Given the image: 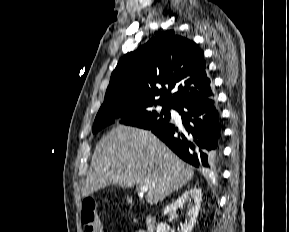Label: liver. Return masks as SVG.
I'll use <instances>...</instances> for the list:
<instances>
[{
  "label": "liver",
  "instance_id": "liver-1",
  "mask_svg": "<svg viewBox=\"0 0 289 232\" xmlns=\"http://www.w3.org/2000/svg\"><path fill=\"white\" fill-rule=\"evenodd\" d=\"M193 176L192 167L153 133L118 126L97 144L81 193L87 197L108 185H146V201L154 205L185 186Z\"/></svg>",
  "mask_w": 289,
  "mask_h": 232
}]
</instances>
